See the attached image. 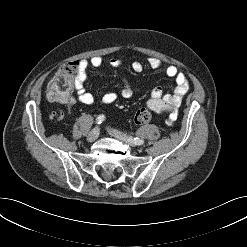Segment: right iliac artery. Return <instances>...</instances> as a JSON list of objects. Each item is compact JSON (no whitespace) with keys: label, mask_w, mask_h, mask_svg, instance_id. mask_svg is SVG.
<instances>
[{"label":"right iliac artery","mask_w":247,"mask_h":247,"mask_svg":"<svg viewBox=\"0 0 247 247\" xmlns=\"http://www.w3.org/2000/svg\"><path fill=\"white\" fill-rule=\"evenodd\" d=\"M104 120H105V116H104V115H99V116L96 118V123H97V124H101Z\"/></svg>","instance_id":"right-iliac-artery-1"}]
</instances>
